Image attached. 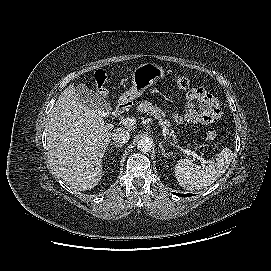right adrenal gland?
Listing matches in <instances>:
<instances>
[{"instance_id":"1","label":"right adrenal gland","mask_w":271,"mask_h":271,"mask_svg":"<svg viewBox=\"0 0 271 271\" xmlns=\"http://www.w3.org/2000/svg\"><path fill=\"white\" fill-rule=\"evenodd\" d=\"M111 146H114L115 148H121L122 145L121 144H117V143H110Z\"/></svg>"}]
</instances>
